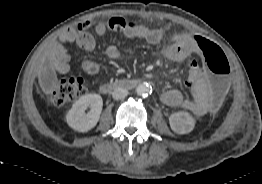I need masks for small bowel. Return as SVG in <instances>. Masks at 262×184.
<instances>
[{
  "mask_svg": "<svg viewBox=\"0 0 262 184\" xmlns=\"http://www.w3.org/2000/svg\"><path fill=\"white\" fill-rule=\"evenodd\" d=\"M90 26L91 21L87 20L77 26L65 29L60 34L58 41L53 44L50 53L51 66L56 72L65 74L69 70V56L63 44L76 43L88 52L94 50L95 41L88 32ZM95 32L98 36H103L107 32V27L103 24H98L95 27ZM125 35L130 38L144 39L154 45L159 44L162 40V32L159 29L145 26H137L132 30H128L125 32ZM200 37L192 33H174L172 35V43L165 49L166 58L175 62L183 61L194 55L201 58V52L196 48V41ZM106 54L108 57L116 59L119 56V50L115 45H110L106 49ZM188 64L189 67L186 66L182 70H175L173 75L176 80H184V86L189 88L193 86V81L197 79L202 64L200 59L196 57L191 58ZM82 69L88 75H95L99 71V64L87 59L83 61ZM207 90L208 86L203 82L195 88L193 97L187 98L179 90L172 89L162 94V101L168 106L181 107L197 116H203L211 109L207 105Z\"/></svg>",
  "mask_w": 262,
  "mask_h": 184,
  "instance_id": "obj_1",
  "label": "small bowel"
}]
</instances>
